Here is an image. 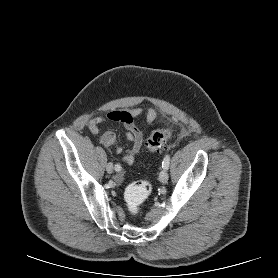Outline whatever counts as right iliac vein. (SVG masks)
Listing matches in <instances>:
<instances>
[{
	"instance_id": "right-iliac-vein-1",
	"label": "right iliac vein",
	"mask_w": 278,
	"mask_h": 278,
	"mask_svg": "<svg viewBox=\"0 0 278 278\" xmlns=\"http://www.w3.org/2000/svg\"><path fill=\"white\" fill-rule=\"evenodd\" d=\"M106 171H107L108 173H112V172H113V165H112V163H108V164L106 165Z\"/></svg>"
}]
</instances>
